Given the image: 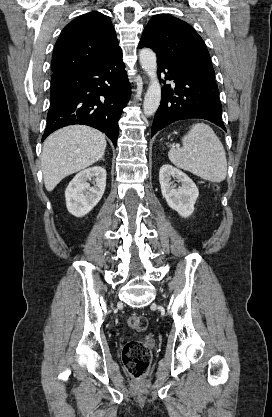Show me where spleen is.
<instances>
[{"instance_id": "spleen-1", "label": "spleen", "mask_w": 272, "mask_h": 417, "mask_svg": "<svg viewBox=\"0 0 272 417\" xmlns=\"http://www.w3.org/2000/svg\"><path fill=\"white\" fill-rule=\"evenodd\" d=\"M182 144V148H172L168 152L175 166L214 183L226 178L225 149L209 125L193 124L182 138Z\"/></svg>"}]
</instances>
